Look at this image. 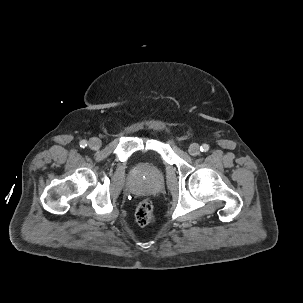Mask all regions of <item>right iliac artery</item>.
Segmentation results:
<instances>
[{
	"label": "right iliac artery",
	"mask_w": 303,
	"mask_h": 303,
	"mask_svg": "<svg viewBox=\"0 0 303 303\" xmlns=\"http://www.w3.org/2000/svg\"><path fill=\"white\" fill-rule=\"evenodd\" d=\"M87 146V141L86 140H82L80 142V147L85 148Z\"/></svg>",
	"instance_id": "right-iliac-artery-1"
}]
</instances>
